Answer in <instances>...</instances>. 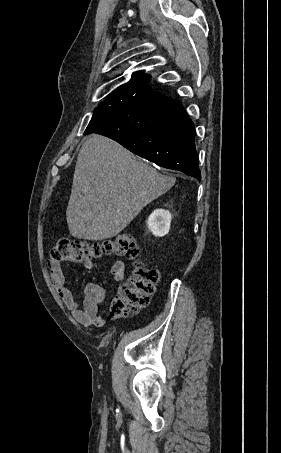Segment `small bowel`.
I'll list each match as a JSON object with an SVG mask.
<instances>
[{"instance_id": "obj_1", "label": "small bowel", "mask_w": 281, "mask_h": 453, "mask_svg": "<svg viewBox=\"0 0 281 453\" xmlns=\"http://www.w3.org/2000/svg\"><path fill=\"white\" fill-rule=\"evenodd\" d=\"M86 267L88 269H95L96 263L89 259L86 262ZM125 270V262L117 260L113 266L114 279L116 281H123L125 278ZM49 272L60 297L65 301L68 308L72 310L79 323L85 327L91 325L103 327L105 324V313H102L101 308L106 296L105 288L101 284L95 282L86 283L84 286V299L80 306L71 289L66 284L65 276L58 259H51L49 261Z\"/></svg>"}]
</instances>
